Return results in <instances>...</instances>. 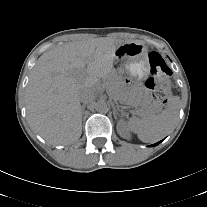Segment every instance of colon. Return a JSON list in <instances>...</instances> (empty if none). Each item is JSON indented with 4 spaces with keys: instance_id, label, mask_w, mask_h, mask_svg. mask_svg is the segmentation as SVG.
Instances as JSON below:
<instances>
[{
    "instance_id": "obj_1",
    "label": "colon",
    "mask_w": 207,
    "mask_h": 207,
    "mask_svg": "<svg viewBox=\"0 0 207 207\" xmlns=\"http://www.w3.org/2000/svg\"><path fill=\"white\" fill-rule=\"evenodd\" d=\"M148 62L150 78L147 81V86L151 90L152 102L161 107L166 104L170 96L169 77L171 71L158 52L149 53Z\"/></svg>"
}]
</instances>
